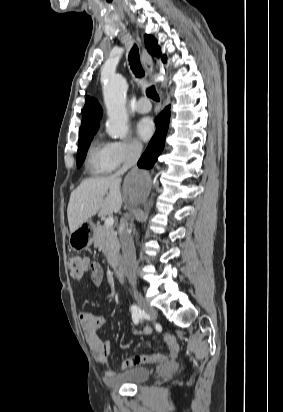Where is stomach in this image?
<instances>
[{
    "instance_id": "obj_1",
    "label": "stomach",
    "mask_w": 283,
    "mask_h": 412,
    "mask_svg": "<svg viewBox=\"0 0 283 412\" xmlns=\"http://www.w3.org/2000/svg\"><path fill=\"white\" fill-rule=\"evenodd\" d=\"M94 226L86 221L69 236V246L73 250H84L94 241Z\"/></svg>"
}]
</instances>
